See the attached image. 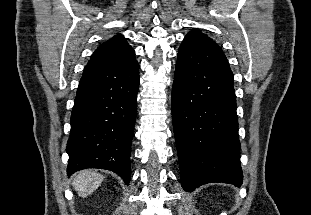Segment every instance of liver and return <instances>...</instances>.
<instances>
[{
	"mask_svg": "<svg viewBox=\"0 0 311 215\" xmlns=\"http://www.w3.org/2000/svg\"><path fill=\"white\" fill-rule=\"evenodd\" d=\"M104 176L93 170H83L73 176L72 185L79 196L92 194L103 182Z\"/></svg>",
	"mask_w": 311,
	"mask_h": 215,
	"instance_id": "1",
	"label": "liver"
}]
</instances>
